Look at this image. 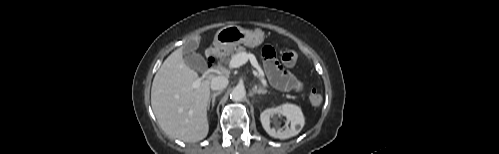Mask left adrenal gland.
I'll list each match as a JSON object with an SVG mask.
<instances>
[{"instance_id": "a2214340", "label": "left adrenal gland", "mask_w": 499, "mask_h": 154, "mask_svg": "<svg viewBox=\"0 0 499 154\" xmlns=\"http://www.w3.org/2000/svg\"><path fill=\"white\" fill-rule=\"evenodd\" d=\"M253 93L254 94H266L267 91L263 89H258L256 86L253 88Z\"/></svg>"}]
</instances>
